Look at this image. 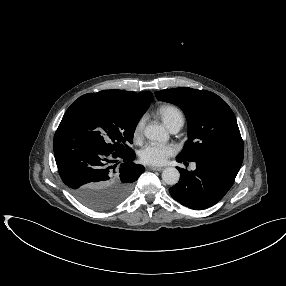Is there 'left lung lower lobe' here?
Wrapping results in <instances>:
<instances>
[{
  "instance_id": "0a47b994",
  "label": "left lung lower lobe",
  "mask_w": 286,
  "mask_h": 286,
  "mask_svg": "<svg viewBox=\"0 0 286 286\" xmlns=\"http://www.w3.org/2000/svg\"><path fill=\"white\" fill-rule=\"evenodd\" d=\"M176 160L187 161L179 157ZM194 161L195 171L178 168L180 181L169 192L180 204L201 210L213 206L224 197L233 185L241 164L218 157H202Z\"/></svg>"
}]
</instances>
